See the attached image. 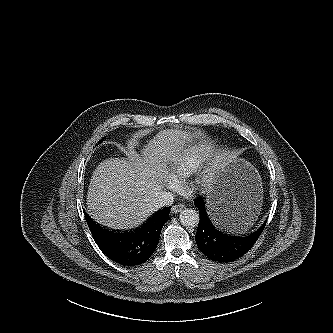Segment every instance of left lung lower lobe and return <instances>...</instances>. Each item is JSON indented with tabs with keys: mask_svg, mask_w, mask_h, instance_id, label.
Returning a JSON list of instances; mask_svg holds the SVG:
<instances>
[{
	"mask_svg": "<svg viewBox=\"0 0 333 333\" xmlns=\"http://www.w3.org/2000/svg\"><path fill=\"white\" fill-rule=\"evenodd\" d=\"M194 204L200 210L196 244L200 251L213 261L227 263L244 255L256 243L266 224L265 221L256 232L248 236H234L218 230L212 224L206 212L204 198L198 197Z\"/></svg>",
	"mask_w": 333,
	"mask_h": 333,
	"instance_id": "left-lung-lower-lobe-1",
	"label": "left lung lower lobe"
}]
</instances>
